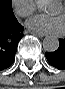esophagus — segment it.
Segmentation results:
<instances>
[{
  "mask_svg": "<svg viewBox=\"0 0 65 89\" xmlns=\"http://www.w3.org/2000/svg\"><path fill=\"white\" fill-rule=\"evenodd\" d=\"M29 33H31L35 36H38V37H44L45 36L44 34H39V33H35V32H32V31H30Z\"/></svg>",
  "mask_w": 65,
  "mask_h": 89,
  "instance_id": "34e87169",
  "label": "esophagus"
}]
</instances>
